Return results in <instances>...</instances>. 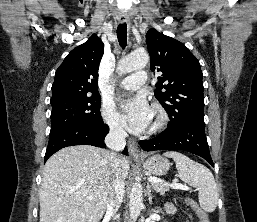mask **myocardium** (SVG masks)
I'll return each mask as SVG.
<instances>
[{"mask_svg": "<svg viewBox=\"0 0 257 222\" xmlns=\"http://www.w3.org/2000/svg\"><path fill=\"white\" fill-rule=\"evenodd\" d=\"M154 114L155 117L150 127L152 133L162 130L168 121V115L160 104L154 105Z\"/></svg>", "mask_w": 257, "mask_h": 222, "instance_id": "myocardium-1", "label": "myocardium"}]
</instances>
